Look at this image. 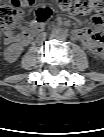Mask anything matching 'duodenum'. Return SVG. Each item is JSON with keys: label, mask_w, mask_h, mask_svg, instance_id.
Instances as JSON below:
<instances>
[{"label": "duodenum", "mask_w": 104, "mask_h": 137, "mask_svg": "<svg viewBox=\"0 0 104 137\" xmlns=\"http://www.w3.org/2000/svg\"><path fill=\"white\" fill-rule=\"evenodd\" d=\"M42 33H43V30L38 26V27L33 28L30 31V37L32 39L34 37H37V36L41 35Z\"/></svg>", "instance_id": "obj_1"}]
</instances>
